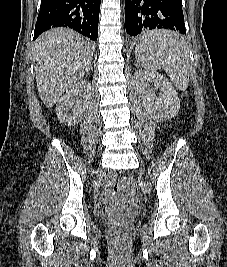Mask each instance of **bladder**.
<instances>
[{
	"mask_svg": "<svg viewBox=\"0 0 227 267\" xmlns=\"http://www.w3.org/2000/svg\"><path fill=\"white\" fill-rule=\"evenodd\" d=\"M109 216H110V213H107V212H101V213H99V217L102 220H106Z\"/></svg>",
	"mask_w": 227,
	"mask_h": 267,
	"instance_id": "bladder-1",
	"label": "bladder"
}]
</instances>
